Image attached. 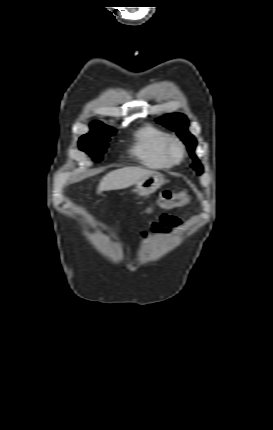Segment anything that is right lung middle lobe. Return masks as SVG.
<instances>
[{
    "mask_svg": "<svg viewBox=\"0 0 273 430\" xmlns=\"http://www.w3.org/2000/svg\"><path fill=\"white\" fill-rule=\"evenodd\" d=\"M91 129L88 134L80 138L79 148L90 154L95 162H100L108 146L109 137L114 135L116 130L94 126H91Z\"/></svg>",
    "mask_w": 273,
    "mask_h": 430,
    "instance_id": "obj_1",
    "label": "right lung middle lobe"
}]
</instances>
